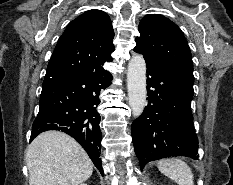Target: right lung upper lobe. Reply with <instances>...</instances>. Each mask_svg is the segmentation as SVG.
I'll list each match as a JSON object with an SVG mask.
<instances>
[{
    "label": "right lung upper lobe",
    "instance_id": "obj_1",
    "mask_svg": "<svg viewBox=\"0 0 233 185\" xmlns=\"http://www.w3.org/2000/svg\"><path fill=\"white\" fill-rule=\"evenodd\" d=\"M114 31L110 17L89 10L71 21L59 38L47 66L45 79L103 69L112 61Z\"/></svg>",
    "mask_w": 233,
    "mask_h": 185
}]
</instances>
